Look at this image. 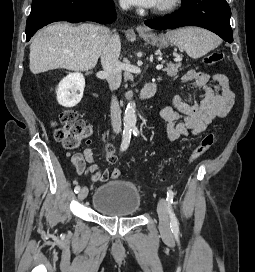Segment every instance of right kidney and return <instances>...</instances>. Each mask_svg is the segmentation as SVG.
I'll use <instances>...</instances> for the list:
<instances>
[{"label": "right kidney", "mask_w": 255, "mask_h": 272, "mask_svg": "<svg viewBox=\"0 0 255 272\" xmlns=\"http://www.w3.org/2000/svg\"><path fill=\"white\" fill-rule=\"evenodd\" d=\"M85 79L81 73H70L59 83L56 94L57 101L64 107L76 106L83 97Z\"/></svg>", "instance_id": "obj_1"}]
</instances>
